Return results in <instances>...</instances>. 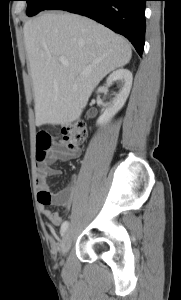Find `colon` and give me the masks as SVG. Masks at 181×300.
Listing matches in <instances>:
<instances>
[{"mask_svg":"<svg viewBox=\"0 0 181 300\" xmlns=\"http://www.w3.org/2000/svg\"><path fill=\"white\" fill-rule=\"evenodd\" d=\"M87 137V129L84 123L75 122L65 125L59 138L58 152L61 155L77 153L84 145ZM53 144L52 137L47 133H39L36 137L37 159L41 162L45 159L47 150Z\"/></svg>","mask_w":181,"mask_h":300,"instance_id":"1","label":"colon"}]
</instances>
